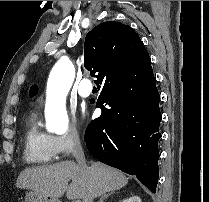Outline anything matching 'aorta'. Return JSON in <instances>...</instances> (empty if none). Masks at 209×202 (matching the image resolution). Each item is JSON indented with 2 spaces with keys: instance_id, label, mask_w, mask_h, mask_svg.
<instances>
[{
  "instance_id": "1",
  "label": "aorta",
  "mask_w": 209,
  "mask_h": 202,
  "mask_svg": "<svg viewBox=\"0 0 209 202\" xmlns=\"http://www.w3.org/2000/svg\"><path fill=\"white\" fill-rule=\"evenodd\" d=\"M74 77V66L67 57L60 58L50 72L45 107L46 129L49 132L63 134L68 130L69 118L65 99Z\"/></svg>"
}]
</instances>
